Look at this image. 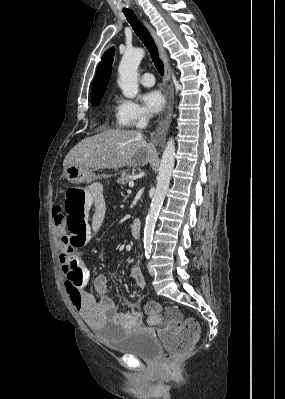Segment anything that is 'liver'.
I'll use <instances>...</instances> for the list:
<instances>
[{
	"label": "liver",
	"instance_id": "6515ba94",
	"mask_svg": "<svg viewBox=\"0 0 285 399\" xmlns=\"http://www.w3.org/2000/svg\"><path fill=\"white\" fill-rule=\"evenodd\" d=\"M142 150L137 156V152ZM145 153H155V147L134 130L109 129L80 141L66 155L63 165H78L87 169H113L147 163Z\"/></svg>",
	"mask_w": 285,
	"mask_h": 399
}]
</instances>
